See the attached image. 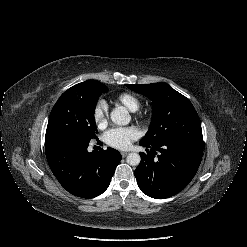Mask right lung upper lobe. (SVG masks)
Here are the masks:
<instances>
[{
	"instance_id": "right-lung-upper-lobe-1",
	"label": "right lung upper lobe",
	"mask_w": 247,
	"mask_h": 247,
	"mask_svg": "<svg viewBox=\"0 0 247 247\" xmlns=\"http://www.w3.org/2000/svg\"><path fill=\"white\" fill-rule=\"evenodd\" d=\"M96 82H97V80H87V81L79 83L75 86H77V87H89V86L94 85Z\"/></svg>"
}]
</instances>
